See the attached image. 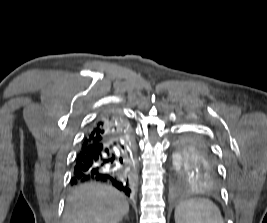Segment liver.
Listing matches in <instances>:
<instances>
[{
  "instance_id": "6515ba94",
  "label": "liver",
  "mask_w": 267,
  "mask_h": 223,
  "mask_svg": "<svg viewBox=\"0 0 267 223\" xmlns=\"http://www.w3.org/2000/svg\"><path fill=\"white\" fill-rule=\"evenodd\" d=\"M128 211L129 204L119 191L87 183L68 196L62 223H119Z\"/></svg>"
}]
</instances>
